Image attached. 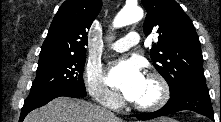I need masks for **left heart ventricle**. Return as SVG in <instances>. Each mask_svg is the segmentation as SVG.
I'll return each mask as SVG.
<instances>
[{
  "instance_id": "obj_1",
  "label": "left heart ventricle",
  "mask_w": 221,
  "mask_h": 122,
  "mask_svg": "<svg viewBox=\"0 0 221 122\" xmlns=\"http://www.w3.org/2000/svg\"><path fill=\"white\" fill-rule=\"evenodd\" d=\"M158 96V87L157 85L146 79L145 86L143 88L140 96L134 101L137 103H150L154 101Z\"/></svg>"
}]
</instances>
